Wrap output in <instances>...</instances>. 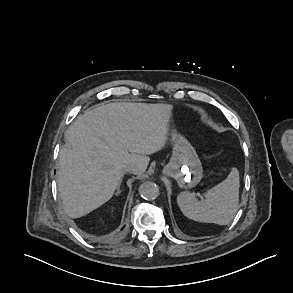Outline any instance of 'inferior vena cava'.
I'll use <instances>...</instances> for the list:
<instances>
[{
  "instance_id": "1",
  "label": "inferior vena cava",
  "mask_w": 293,
  "mask_h": 293,
  "mask_svg": "<svg viewBox=\"0 0 293 293\" xmlns=\"http://www.w3.org/2000/svg\"><path fill=\"white\" fill-rule=\"evenodd\" d=\"M125 171L132 173L134 171V168L132 166H129L125 169Z\"/></svg>"
}]
</instances>
